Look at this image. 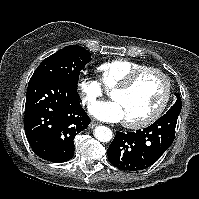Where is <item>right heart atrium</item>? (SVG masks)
Instances as JSON below:
<instances>
[{"mask_svg":"<svg viewBox=\"0 0 199 199\" xmlns=\"http://www.w3.org/2000/svg\"><path fill=\"white\" fill-rule=\"evenodd\" d=\"M82 101L86 105H92L103 95L104 88L102 84L94 78H80L77 84Z\"/></svg>","mask_w":199,"mask_h":199,"instance_id":"1","label":"right heart atrium"}]
</instances>
